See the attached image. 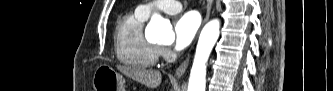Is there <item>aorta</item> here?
Returning a JSON list of instances; mask_svg holds the SVG:
<instances>
[{
  "label": "aorta",
  "mask_w": 333,
  "mask_h": 91,
  "mask_svg": "<svg viewBox=\"0 0 333 91\" xmlns=\"http://www.w3.org/2000/svg\"><path fill=\"white\" fill-rule=\"evenodd\" d=\"M220 34L218 19L208 22L199 36L193 66L190 72L188 91H205L206 64ZM147 38L167 42L174 39V32L169 21L154 14L146 28Z\"/></svg>",
  "instance_id": "762f6f07"
}]
</instances>
